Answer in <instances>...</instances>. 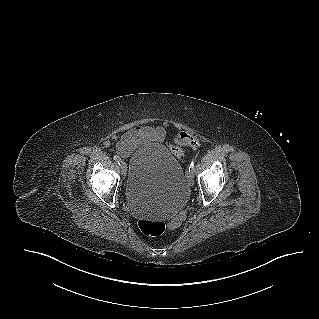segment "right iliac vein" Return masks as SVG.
<instances>
[{"label":"right iliac vein","mask_w":319,"mask_h":319,"mask_svg":"<svg viewBox=\"0 0 319 319\" xmlns=\"http://www.w3.org/2000/svg\"><path fill=\"white\" fill-rule=\"evenodd\" d=\"M120 168H121V173L123 175V177L126 176V164L122 161L120 164Z\"/></svg>","instance_id":"63e3f726"}]
</instances>
